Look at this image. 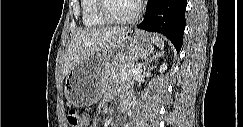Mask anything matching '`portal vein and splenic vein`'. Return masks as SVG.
<instances>
[{
	"mask_svg": "<svg viewBox=\"0 0 243 127\" xmlns=\"http://www.w3.org/2000/svg\"><path fill=\"white\" fill-rule=\"evenodd\" d=\"M130 72L132 74H134V75H138V74H140L142 72V70H141V67L138 66L137 68H134V69L130 70Z\"/></svg>",
	"mask_w": 243,
	"mask_h": 127,
	"instance_id": "portal-vein-and-splenic-vein-1",
	"label": "portal vein and splenic vein"
}]
</instances>
